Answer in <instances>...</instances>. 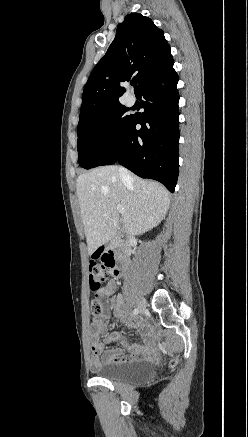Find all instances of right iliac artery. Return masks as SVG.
I'll use <instances>...</instances> for the list:
<instances>
[{
  "instance_id": "obj_1",
  "label": "right iliac artery",
  "mask_w": 248,
  "mask_h": 437,
  "mask_svg": "<svg viewBox=\"0 0 248 437\" xmlns=\"http://www.w3.org/2000/svg\"><path fill=\"white\" fill-rule=\"evenodd\" d=\"M138 312H139V311H138V309L136 308V309H134L133 314H134V315H137Z\"/></svg>"
}]
</instances>
